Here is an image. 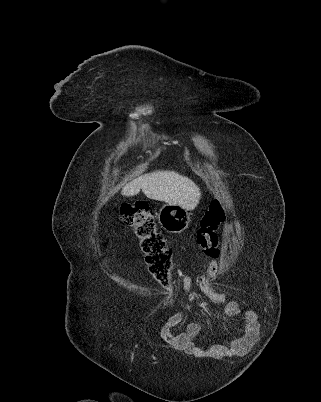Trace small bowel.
Masks as SVG:
<instances>
[{
  "mask_svg": "<svg viewBox=\"0 0 321 402\" xmlns=\"http://www.w3.org/2000/svg\"><path fill=\"white\" fill-rule=\"evenodd\" d=\"M191 281L188 275L183 277V283L189 284ZM227 313L233 318H238L241 310L233 302L226 304ZM243 322L246 326L241 328V332H235L234 344H202L201 347L195 342L200 334V325L194 322L187 324L184 331L177 332V326L184 320L185 314L180 312L173 315L165 324V338L176 348L184 351L185 358H245L246 353H252L257 345V340L261 337L259 328L261 322L256 320L257 313L252 307L243 309Z\"/></svg>",
  "mask_w": 321,
  "mask_h": 402,
  "instance_id": "c3829d8e",
  "label": "small bowel"
}]
</instances>
